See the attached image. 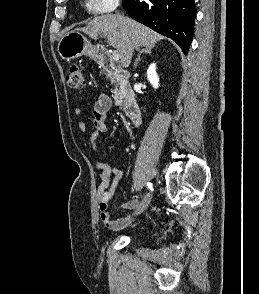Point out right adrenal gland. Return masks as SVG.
Wrapping results in <instances>:
<instances>
[{"mask_svg":"<svg viewBox=\"0 0 259 294\" xmlns=\"http://www.w3.org/2000/svg\"><path fill=\"white\" fill-rule=\"evenodd\" d=\"M152 48H154V45L147 46V47L143 48L141 51H139V54H138V56L135 60V63H134L135 68L137 67L139 61L141 60V54L146 53V54L151 55Z\"/></svg>","mask_w":259,"mask_h":294,"instance_id":"right-adrenal-gland-1","label":"right adrenal gland"}]
</instances>
